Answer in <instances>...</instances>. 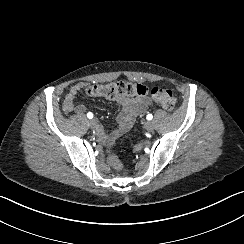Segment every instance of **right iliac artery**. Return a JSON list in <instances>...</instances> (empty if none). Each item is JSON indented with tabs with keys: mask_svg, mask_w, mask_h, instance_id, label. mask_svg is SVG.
<instances>
[{
	"mask_svg": "<svg viewBox=\"0 0 244 244\" xmlns=\"http://www.w3.org/2000/svg\"><path fill=\"white\" fill-rule=\"evenodd\" d=\"M87 117H88L89 119H92V118H93V114H92L91 112H89V113L87 114Z\"/></svg>",
	"mask_w": 244,
	"mask_h": 244,
	"instance_id": "1",
	"label": "right iliac artery"
}]
</instances>
